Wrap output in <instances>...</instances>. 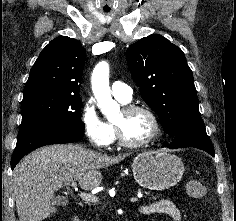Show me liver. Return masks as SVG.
Returning <instances> with one entry per match:
<instances>
[{
    "label": "liver",
    "mask_w": 236,
    "mask_h": 221,
    "mask_svg": "<svg viewBox=\"0 0 236 221\" xmlns=\"http://www.w3.org/2000/svg\"><path fill=\"white\" fill-rule=\"evenodd\" d=\"M128 154L109 156L79 145H51L23 158L13 171V195L19 221H43L56 212L54 193L78 181L83 190L102 182L100 168L119 163Z\"/></svg>",
    "instance_id": "1"
}]
</instances>
